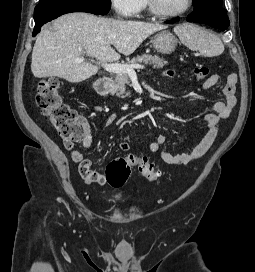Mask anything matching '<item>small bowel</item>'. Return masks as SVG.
I'll return each instance as SVG.
<instances>
[{
  "label": "small bowel",
  "mask_w": 255,
  "mask_h": 272,
  "mask_svg": "<svg viewBox=\"0 0 255 272\" xmlns=\"http://www.w3.org/2000/svg\"><path fill=\"white\" fill-rule=\"evenodd\" d=\"M166 76H175V71L169 70L165 72ZM220 81V75L214 73L210 75L203 83L204 89H209L215 86ZM238 81V77L235 73L229 74L226 79L225 86L223 88L224 101H217L212 104L213 111L205 115V121L208 125V130L201 139V141L194 147L189 153L172 154L170 152L161 150L162 145L166 141L164 134H158L156 139L149 145V151L152 153L160 152L161 159L167 164L184 165L189 162L202 157L212 146L215 138L218 135L220 129V121L228 118L236 103L237 98L235 94V87ZM118 117L117 113L109 114L104 120L103 125H111ZM82 145L85 149H89L93 145V134L89 125L86 126V134L83 139ZM66 149L70 152L72 160L78 166V172L87 184L105 185L107 182L106 176L93 169L92 162L85 158L83 154L74 148L73 144H66ZM122 151H129L130 144L127 141H122L119 144Z\"/></svg>",
  "instance_id": "1"
}]
</instances>
